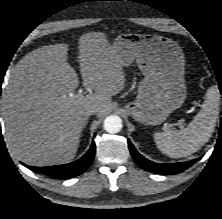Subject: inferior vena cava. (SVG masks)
Returning a JSON list of instances; mask_svg holds the SVG:
<instances>
[{"label": "inferior vena cava", "instance_id": "602c4592", "mask_svg": "<svg viewBox=\"0 0 222 219\" xmlns=\"http://www.w3.org/2000/svg\"><path fill=\"white\" fill-rule=\"evenodd\" d=\"M97 112H98V107L93 106V107L87 108V109L84 111L83 114H84L85 116H90V115L95 114V113H97Z\"/></svg>", "mask_w": 222, "mask_h": 219}]
</instances>
